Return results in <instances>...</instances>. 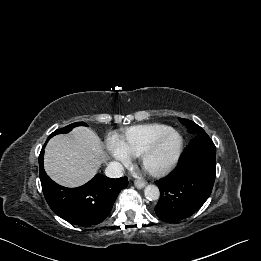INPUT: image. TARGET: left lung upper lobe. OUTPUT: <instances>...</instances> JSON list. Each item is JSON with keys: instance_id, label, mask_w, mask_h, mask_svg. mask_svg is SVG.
I'll return each mask as SVG.
<instances>
[{"instance_id": "5c2ea615", "label": "left lung upper lobe", "mask_w": 261, "mask_h": 261, "mask_svg": "<svg viewBox=\"0 0 261 261\" xmlns=\"http://www.w3.org/2000/svg\"><path fill=\"white\" fill-rule=\"evenodd\" d=\"M179 121L185 125V127L187 128V131L193 135H197L201 132H205L200 126H198L196 123H194L193 121H190L188 119H183V118H179Z\"/></svg>"}]
</instances>
